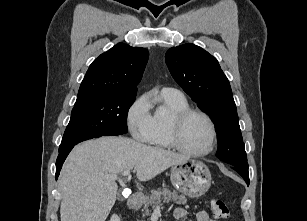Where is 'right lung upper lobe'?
Wrapping results in <instances>:
<instances>
[{"mask_svg": "<svg viewBox=\"0 0 307 221\" xmlns=\"http://www.w3.org/2000/svg\"><path fill=\"white\" fill-rule=\"evenodd\" d=\"M149 52L119 43L96 58L80 85L77 101L109 94L137 92Z\"/></svg>", "mask_w": 307, "mask_h": 221, "instance_id": "1", "label": "right lung upper lobe"}]
</instances>
